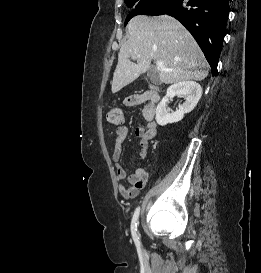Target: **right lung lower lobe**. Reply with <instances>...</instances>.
I'll return each mask as SVG.
<instances>
[{
    "instance_id": "obj_1",
    "label": "right lung lower lobe",
    "mask_w": 261,
    "mask_h": 273,
    "mask_svg": "<svg viewBox=\"0 0 261 273\" xmlns=\"http://www.w3.org/2000/svg\"><path fill=\"white\" fill-rule=\"evenodd\" d=\"M228 2L229 0H170L144 15L167 14L179 20L199 44L211 66L212 74L215 75L226 34Z\"/></svg>"
}]
</instances>
